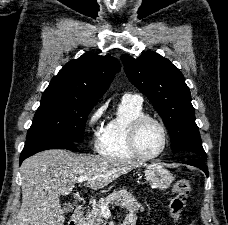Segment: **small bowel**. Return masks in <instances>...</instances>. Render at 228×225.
<instances>
[{
  "label": "small bowel",
  "mask_w": 228,
  "mask_h": 225,
  "mask_svg": "<svg viewBox=\"0 0 228 225\" xmlns=\"http://www.w3.org/2000/svg\"><path fill=\"white\" fill-rule=\"evenodd\" d=\"M129 216H131V217H133L134 218V216L131 214V215H129Z\"/></svg>",
  "instance_id": "small-bowel-1"
}]
</instances>
